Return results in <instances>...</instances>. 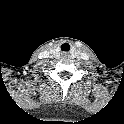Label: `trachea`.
<instances>
[{
    "label": "trachea",
    "mask_w": 124,
    "mask_h": 124,
    "mask_svg": "<svg viewBox=\"0 0 124 124\" xmlns=\"http://www.w3.org/2000/svg\"><path fill=\"white\" fill-rule=\"evenodd\" d=\"M65 48H66L67 50H64ZM61 50H62V51H69V50H70V45H69L68 43L62 44Z\"/></svg>",
    "instance_id": "trachea-1"
}]
</instances>
